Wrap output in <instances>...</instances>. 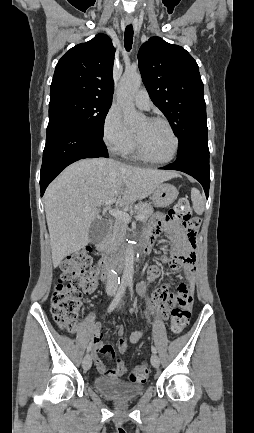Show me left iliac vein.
I'll return each mask as SVG.
<instances>
[{"label":"left iliac vein","mask_w":254,"mask_h":433,"mask_svg":"<svg viewBox=\"0 0 254 433\" xmlns=\"http://www.w3.org/2000/svg\"><path fill=\"white\" fill-rule=\"evenodd\" d=\"M151 364L154 368H158L160 365L159 357L155 353L151 356Z\"/></svg>","instance_id":"obj_1"}]
</instances>
